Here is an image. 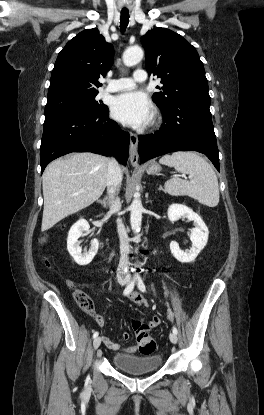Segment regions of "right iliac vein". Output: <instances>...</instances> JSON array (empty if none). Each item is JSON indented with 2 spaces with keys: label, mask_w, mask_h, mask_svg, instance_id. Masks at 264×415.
Wrapping results in <instances>:
<instances>
[{
  "label": "right iliac vein",
  "mask_w": 264,
  "mask_h": 415,
  "mask_svg": "<svg viewBox=\"0 0 264 415\" xmlns=\"http://www.w3.org/2000/svg\"><path fill=\"white\" fill-rule=\"evenodd\" d=\"M122 285L126 284V281H122L121 282ZM101 344V338L100 337H96L93 341V348L97 349Z\"/></svg>",
  "instance_id": "1"
}]
</instances>
